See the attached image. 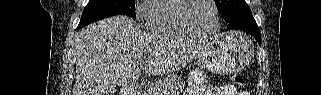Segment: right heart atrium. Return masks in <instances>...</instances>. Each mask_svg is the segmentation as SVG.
Here are the masks:
<instances>
[{"instance_id":"1","label":"right heart atrium","mask_w":321,"mask_h":95,"mask_svg":"<svg viewBox=\"0 0 321 95\" xmlns=\"http://www.w3.org/2000/svg\"><path fill=\"white\" fill-rule=\"evenodd\" d=\"M153 0H144V1H139L136 3L135 6V16L136 19L144 23L148 21L150 13H151V8L153 4Z\"/></svg>"}]
</instances>
